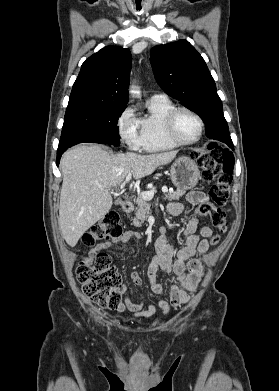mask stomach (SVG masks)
<instances>
[{"label": "stomach", "mask_w": 279, "mask_h": 391, "mask_svg": "<svg viewBox=\"0 0 279 391\" xmlns=\"http://www.w3.org/2000/svg\"><path fill=\"white\" fill-rule=\"evenodd\" d=\"M200 171L189 157L178 158L170 168L172 183L181 191L192 189L198 183Z\"/></svg>", "instance_id": "obj_1"}]
</instances>
